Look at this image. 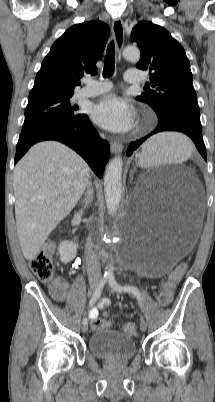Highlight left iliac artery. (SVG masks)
Segmentation results:
<instances>
[{
    "mask_svg": "<svg viewBox=\"0 0 215 402\" xmlns=\"http://www.w3.org/2000/svg\"><path fill=\"white\" fill-rule=\"evenodd\" d=\"M108 282H109L110 287L114 291L120 292V293L128 292V293L134 295L137 298V300L141 306V293L137 287L129 286V285L121 286L120 284L117 283V281L115 280L114 277H109Z\"/></svg>",
    "mask_w": 215,
    "mask_h": 402,
    "instance_id": "obj_1",
    "label": "left iliac artery"
}]
</instances>
